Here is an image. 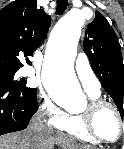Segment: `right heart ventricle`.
I'll return each instance as SVG.
<instances>
[{"label":"right heart ventricle","mask_w":124,"mask_h":149,"mask_svg":"<svg viewBox=\"0 0 124 149\" xmlns=\"http://www.w3.org/2000/svg\"><path fill=\"white\" fill-rule=\"evenodd\" d=\"M99 94H89L92 99L99 98ZM65 131L68 135L90 144H97L98 142L93 139L85 130L80 115H68L66 123L60 128Z\"/></svg>","instance_id":"e07e8e85"}]
</instances>
